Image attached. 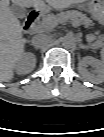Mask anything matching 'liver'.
Listing matches in <instances>:
<instances>
[{"label": "liver", "instance_id": "obj_1", "mask_svg": "<svg viewBox=\"0 0 104 137\" xmlns=\"http://www.w3.org/2000/svg\"><path fill=\"white\" fill-rule=\"evenodd\" d=\"M56 10L87 0H45ZM20 7H33L36 11L45 7L42 0H12ZM26 40L22 37L20 21L9 8L8 1L1 0L0 8V80L9 82L14 76L13 68L24 54Z\"/></svg>", "mask_w": 104, "mask_h": 137}]
</instances>
